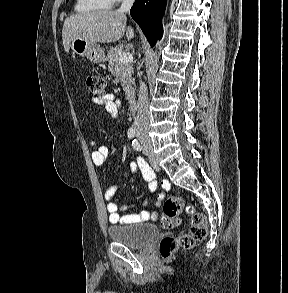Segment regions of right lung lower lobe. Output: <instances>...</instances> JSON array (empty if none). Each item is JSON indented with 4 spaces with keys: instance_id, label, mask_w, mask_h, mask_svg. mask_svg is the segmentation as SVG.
I'll return each instance as SVG.
<instances>
[{
    "instance_id": "98d812e1",
    "label": "right lung lower lobe",
    "mask_w": 288,
    "mask_h": 293,
    "mask_svg": "<svg viewBox=\"0 0 288 293\" xmlns=\"http://www.w3.org/2000/svg\"><path fill=\"white\" fill-rule=\"evenodd\" d=\"M165 6L166 0H136L130 10L151 46L161 37Z\"/></svg>"
}]
</instances>
